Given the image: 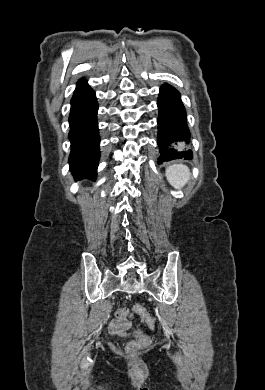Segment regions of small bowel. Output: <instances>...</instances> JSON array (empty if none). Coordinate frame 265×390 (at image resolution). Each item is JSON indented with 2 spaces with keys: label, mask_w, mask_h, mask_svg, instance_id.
Instances as JSON below:
<instances>
[{
  "label": "small bowel",
  "mask_w": 265,
  "mask_h": 390,
  "mask_svg": "<svg viewBox=\"0 0 265 390\" xmlns=\"http://www.w3.org/2000/svg\"><path fill=\"white\" fill-rule=\"evenodd\" d=\"M130 325V321L116 318L109 323V330L113 334H124Z\"/></svg>",
  "instance_id": "1"
}]
</instances>
